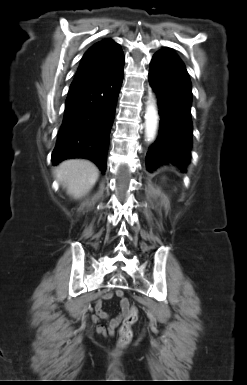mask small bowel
I'll return each instance as SVG.
<instances>
[{"instance_id":"small-bowel-1","label":"small bowel","mask_w":247,"mask_h":385,"mask_svg":"<svg viewBox=\"0 0 247 385\" xmlns=\"http://www.w3.org/2000/svg\"><path fill=\"white\" fill-rule=\"evenodd\" d=\"M114 297L121 299L122 310L114 317H111L108 312L103 308V301L98 300L95 304V314L92 316V321L97 323L96 332L100 336L106 337L107 335H113L118 328L119 324L126 315L125 307L128 305L127 300L123 297V290L115 289L103 296V300H109ZM100 321H106L107 325L99 323Z\"/></svg>"}]
</instances>
